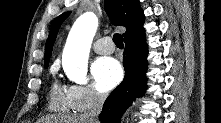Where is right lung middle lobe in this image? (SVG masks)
<instances>
[{"label":"right lung middle lobe","mask_w":221,"mask_h":123,"mask_svg":"<svg viewBox=\"0 0 221 123\" xmlns=\"http://www.w3.org/2000/svg\"><path fill=\"white\" fill-rule=\"evenodd\" d=\"M48 67V62L47 63H45V68H47Z\"/></svg>","instance_id":"obj_1"}]
</instances>
